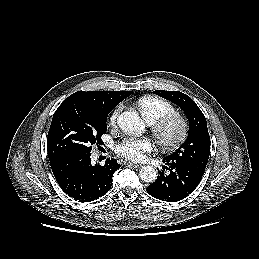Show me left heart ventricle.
I'll return each instance as SVG.
<instances>
[{
	"instance_id": "left-heart-ventricle-1",
	"label": "left heart ventricle",
	"mask_w": 259,
	"mask_h": 259,
	"mask_svg": "<svg viewBox=\"0 0 259 259\" xmlns=\"http://www.w3.org/2000/svg\"><path fill=\"white\" fill-rule=\"evenodd\" d=\"M177 133V126L176 125H171L168 130H167V135L169 138H172L176 135Z\"/></svg>"
}]
</instances>
